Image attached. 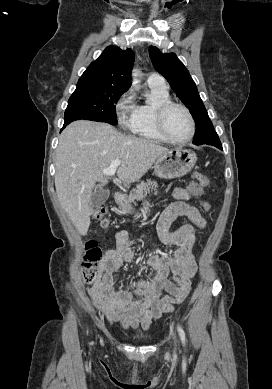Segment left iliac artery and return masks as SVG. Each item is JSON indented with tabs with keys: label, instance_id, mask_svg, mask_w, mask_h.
<instances>
[{
	"label": "left iliac artery",
	"instance_id": "obj_1",
	"mask_svg": "<svg viewBox=\"0 0 272 389\" xmlns=\"http://www.w3.org/2000/svg\"><path fill=\"white\" fill-rule=\"evenodd\" d=\"M177 330H178V333H179V336L181 338V341H182L183 345H185L186 339H185V332H184V330L182 329V327L180 325L177 326Z\"/></svg>",
	"mask_w": 272,
	"mask_h": 389
}]
</instances>
